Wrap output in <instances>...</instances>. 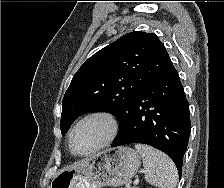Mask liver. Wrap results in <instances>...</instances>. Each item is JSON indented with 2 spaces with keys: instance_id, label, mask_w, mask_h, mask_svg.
Returning a JSON list of instances; mask_svg holds the SVG:
<instances>
[{
  "instance_id": "obj_1",
  "label": "liver",
  "mask_w": 224,
  "mask_h": 188,
  "mask_svg": "<svg viewBox=\"0 0 224 188\" xmlns=\"http://www.w3.org/2000/svg\"><path fill=\"white\" fill-rule=\"evenodd\" d=\"M85 161H87V159L82 160V161H80V162L76 163V164H75V165H73L71 168L77 167L78 165H80V164L84 163Z\"/></svg>"
}]
</instances>
